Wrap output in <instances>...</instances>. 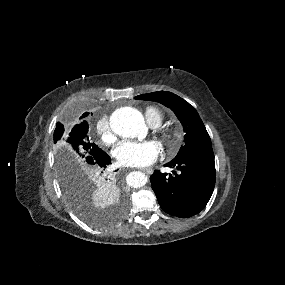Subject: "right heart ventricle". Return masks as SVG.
I'll return each mask as SVG.
<instances>
[{
  "label": "right heart ventricle",
  "mask_w": 285,
  "mask_h": 285,
  "mask_svg": "<svg viewBox=\"0 0 285 285\" xmlns=\"http://www.w3.org/2000/svg\"><path fill=\"white\" fill-rule=\"evenodd\" d=\"M145 117L151 126H158L164 119V112L156 106H149L145 109Z\"/></svg>",
  "instance_id": "1"
}]
</instances>
